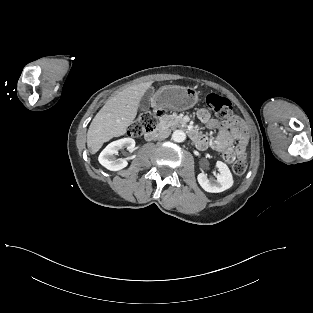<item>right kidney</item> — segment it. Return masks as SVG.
<instances>
[{
  "label": "right kidney",
  "instance_id": "ca27d5eb",
  "mask_svg": "<svg viewBox=\"0 0 313 313\" xmlns=\"http://www.w3.org/2000/svg\"><path fill=\"white\" fill-rule=\"evenodd\" d=\"M126 147L130 152L134 150L135 140L132 138H123L113 141L106 146L98 157L99 163L111 171H118L125 168L128 162L125 159H117L118 150Z\"/></svg>",
  "mask_w": 313,
  "mask_h": 313
}]
</instances>
